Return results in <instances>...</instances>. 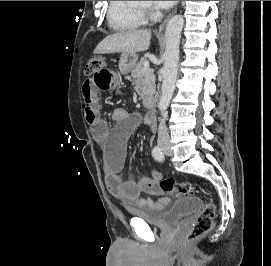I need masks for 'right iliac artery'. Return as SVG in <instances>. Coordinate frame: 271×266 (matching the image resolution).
Masks as SVG:
<instances>
[{
  "label": "right iliac artery",
  "mask_w": 271,
  "mask_h": 266,
  "mask_svg": "<svg viewBox=\"0 0 271 266\" xmlns=\"http://www.w3.org/2000/svg\"><path fill=\"white\" fill-rule=\"evenodd\" d=\"M152 155L153 157L158 160V161H162L164 159V155L162 150L160 149L159 146H155L152 150Z\"/></svg>",
  "instance_id": "82829eb1"
}]
</instances>
